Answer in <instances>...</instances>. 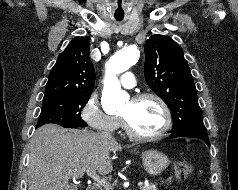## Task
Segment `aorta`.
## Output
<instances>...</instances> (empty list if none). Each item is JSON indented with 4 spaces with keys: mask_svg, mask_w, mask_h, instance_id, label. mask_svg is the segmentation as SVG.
<instances>
[{
    "mask_svg": "<svg viewBox=\"0 0 238 190\" xmlns=\"http://www.w3.org/2000/svg\"><path fill=\"white\" fill-rule=\"evenodd\" d=\"M140 52L134 45L117 51L108 61L104 78V89L101 99L103 110L110 114L117 111L129 95L121 89L117 74L128 70L139 59Z\"/></svg>",
    "mask_w": 238,
    "mask_h": 190,
    "instance_id": "762f6f07",
    "label": "aorta"
}]
</instances>
